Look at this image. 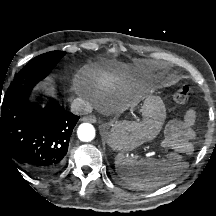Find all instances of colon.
Returning <instances> with one entry per match:
<instances>
[{"label": "colon", "instance_id": "1", "mask_svg": "<svg viewBox=\"0 0 216 216\" xmlns=\"http://www.w3.org/2000/svg\"><path fill=\"white\" fill-rule=\"evenodd\" d=\"M190 89L188 86H181L174 92V100L177 103L184 104L189 101Z\"/></svg>", "mask_w": 216, "mask_h": 216}]
</instances>
